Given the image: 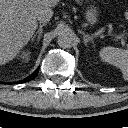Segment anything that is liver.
Segmentation results:
<instances>
[{
	"mask_svg": "<svg viewBox=\"0 0 128 128\" xmlns=\"http://www.w3.org/2000/svg\"><path fill=\"white\" fill-rule=\"evenodd\" d=\"M60 0H0V65L17 56L37 29V15ZM53 14V12H52Z\"/></svg>",
	"mask_w": 128,
	"mask_h": 128,
	"instance_id": "liver-1",
	"label": "liver"
}]
</instances>
